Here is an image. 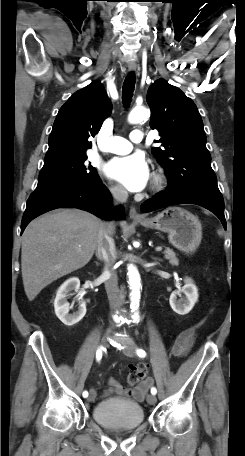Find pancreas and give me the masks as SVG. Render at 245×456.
<instances>
[{
    "mask_svg": "<svg viewBox=\"0 0 245 456\" xmlns=\"http://www.w3.org/2000/svg\"><path fill=\"white\" fill-rule=\"evenodd\" d=\"M164 257H165V259L169 260V263L171 265L177 266L179 264V260L176 257L175 252L172 249H170L169 247L165 248Z\"/></svg>",
    "mask_w": 245,
    "mask_h": 456,
    "instance_id": "pancreas-1",
    "label": "pancreas"
}]
</instances>
